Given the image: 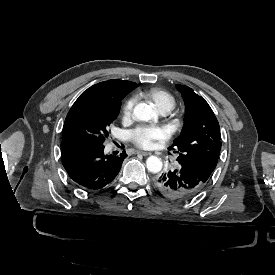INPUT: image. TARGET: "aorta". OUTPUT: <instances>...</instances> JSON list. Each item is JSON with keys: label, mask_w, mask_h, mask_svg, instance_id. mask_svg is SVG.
I'll return each instance as SVG.
<instances>
[{"label": "aorta", "mask_w": 275, "mask_h": 275, "mask_svg": "<svg viewBox=\"0 0 275 275\" xmlns=\"http://www.w3.org/2000/svg\"><path fill=\"white\" fill-rule=\"evenodd\" d=\"M133 117L139 121H149L155 116L152 107L146 103H138L133 108ZM147 169L150 173L155 174L162 170L163 163L156 156H150L146 161Z\"/></svg>", "instance_id": "1"}]
</instances>
